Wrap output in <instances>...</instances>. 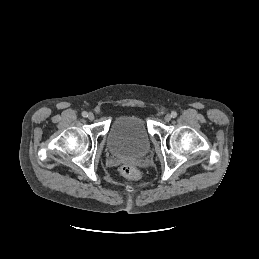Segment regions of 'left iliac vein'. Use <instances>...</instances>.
I'll list each match as a JSON object with an SVG mask.
<instances>
[{
  "mask_svg": "<svg viewBox=\"0 0 259 259\" xmlns=\"http://www.w3.org/2000/svg\"><path fill=\"white\" fill-rule=\"evenodd\" d=\"M172 116L170 114L165 115L164 119L165 121L169 122L171 120Z\"/></svg>",
  "mask_w": 259,
  "mask_h": 259,
  "instance_id": "left-iliac-vein-1",
  "label": "left iliac vein"
}]
</instances>
